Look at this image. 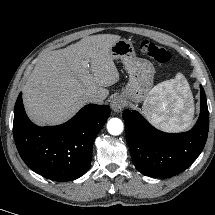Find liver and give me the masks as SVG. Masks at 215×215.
Returning <instances> with one entry per match:
<instances>
[{"instance_id": "liver-1", "label": "liver", "mask_w": 215, "mask_h": 215, "mask_svg": "<svg viewBox=\"0 0 215 215\" xmlns=\"http://www.w3.org/2000/svg\"><path fill=\"white\" fill-rule=\"evenodd\" d=\"M120 36H87L64 49L44 54L36 63L23 88L28 116L38 125L67 121L88 101L90 94L106 98V87L119 81L110 53ZM89 62V67L83 65Z\"/></svg>"}]
</instances>
